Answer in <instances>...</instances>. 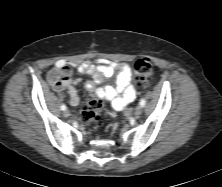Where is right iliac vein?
I'll return each mask as SVG.
<instances>
[{"label":"right iliac vein","mask_w":222,"mask_h":187,"mask_svg":"<svg viewBox=\"0 0 222 187\" xmlns=\"http://www.w3.org/2000/svg\"><path fill=\"white\" fill-rule=\"evenodd\" d=\"M63 115H64L65 117H69V116H70V112H69L68 110H65L64 113H63Z\"/></svg>","instance_id":"63e3f726"}]
</instances>
